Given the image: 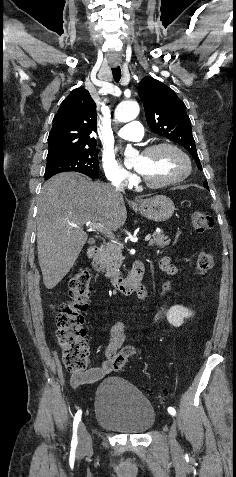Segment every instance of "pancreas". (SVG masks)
<instances>
[{
    "mask_svg": "<svg viewBox=\"0 0 236 477\" xmlns=\"http://www.w3.org/2000/svg\"><path fill=\"white\" fill-rule=\"evenodd\" d=\"M168 237L162 232L154 233L153 239L149 242V246H157L164 248L170 244ZM122 247L117 242H110L104 246L97 256L94 263L97 271L105 274L107 278L112 280L120 276V266L122 264Z\"/></svg>",
    "mask_w": 236,
    "mask_h": 477,
    "instance_id": "cf45deb5",
    "label": "pancreas"
}]
</instances>
